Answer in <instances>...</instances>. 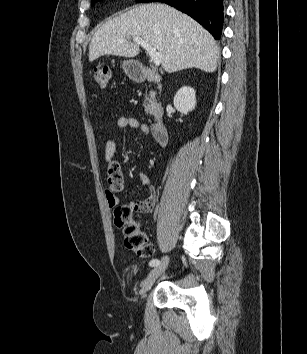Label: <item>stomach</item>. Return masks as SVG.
Segmentation results:
<instances>
[{
    "label": "stomach",
    "mask_w": 307,
    "mask_h": 354,
    "mask_svg": "<svg viewBox=\"0 0 307 354\" xmlns=\"http://www.w3.org/2000/svg\"><path fill=\"white\" fill-rule=\"evenodd\" d=\"M126 75L131 79H138L141 76L140 64L135 60H126L122 64Z\"/></svg>",
    "instance_id": "0dacf381"
}]
</instances>
